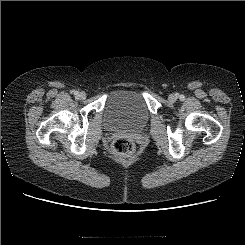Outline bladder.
Here are the masks:
<instances>
[{"mask_svg": "<svg viewBox=\"0 0 245 245\" xmlns=\"http://www.w3.org/2000/svg\"><path fill=\"white\" fill-rule=\"evenodd\" d=\"M106 123L116 129L137 130L149 121L144 97L131 89H120L108 99L105 109Z\"/></svg>", "mask_w": 245, "mask_h": 245, "instance_id": "31cf9c89", "label": "bladder"}]
</instances>
